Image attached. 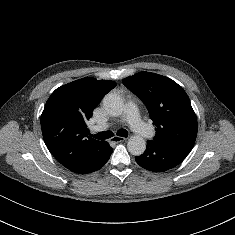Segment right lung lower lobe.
<instances>
[{
	"label": "right lung lower lobe",
	"instance_id": "right-lung-lower-lobe-1",
	"mask_svg": "<svg viewBox=\"0 0 235 235\" xmlns=\"http://www.w3.org/2000/svg\"><path fill=\"white\" fill-rule=\"evenodd\" d=\"M113 149L105 141L102 145L93 150V152L86 159L84 164L79 167L75 172L76 173H91L106 164L108 159L112 154Z\"/></svg>",
	"mask_w": 235,
	"mask_h": 235
}]
</instances>
